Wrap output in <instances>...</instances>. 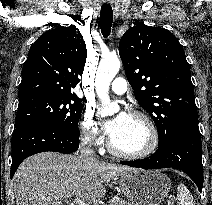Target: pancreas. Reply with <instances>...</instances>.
<instances>
[{"instance_id": "cf45deb5", "label": "pancreas", "mask_w": 212, "mask_h": 205, "mask_svg": "<svg viewBox=\"0 0 212 205\" xmlns=\"http://www.w3.org/2000/svg\"><path fill=\"white\" fill-rule=\"evenodd\" d=\"M109 205H132V204L125 200H122L118 196H115L109 201Z\"/></svg>"}]
</instances>
